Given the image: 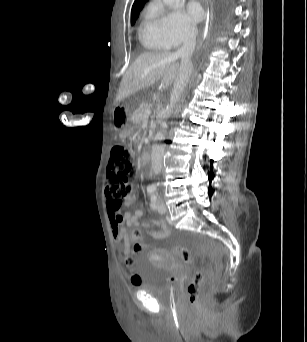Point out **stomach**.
<instances>
[{"mask_svg": "<svg viewBox=\"0 0 307 342\" xmlns=\"http://www.w3.org/2000/svg\"><path fill=\"white\" fill-rule=\"evenodd\" d=\"M114 120L115 122L122 128L126 129L129 119H130V114L129 111L122 108V107H116L113 112Z\"/></svg>", "mask_w": 307, "mask_h": 342, "instance_id": "0dacf381", "label": "stomach"}]
</instances>
